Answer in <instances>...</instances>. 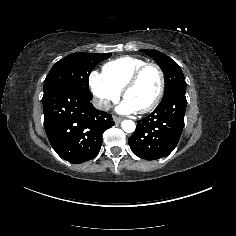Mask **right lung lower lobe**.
I'll return each mask as SVG.
<instances>
[{"label":"right lung lower lobe","instance_id":"1","mask_svg":"<svg viewBox=\"0 0 236 236\" xmlns=\"http://www.w3.org/2000/svg\"><path fill=\"white\" fill-rule=\"evenodd\" d=\"M91 96L69 87L43 95L44 127L56 153L70 163L92 160L100 151L102 134L114 125L109 113L97 110Z\"/></svg>","mask_w":236,"mask_h":236}]
</instances>
